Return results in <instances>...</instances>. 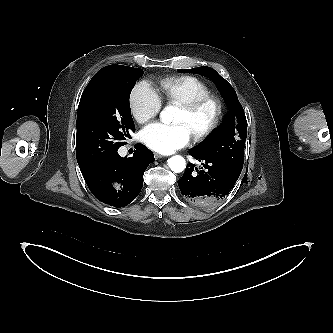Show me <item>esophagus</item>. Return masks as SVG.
<instances>
[{"instance_id":"1","label":"esophagus","mask_w":333,"mask_h":333,"mask_svg":"<svg viewBox=\"0 0 333 333\" xmlns=\"http://www.w3.org/2000/svg\"><path fill=\"white\" fill-rule=\"evenodd\" d=\"M154 157L155 159H160L162 157H164L163 155L159 154V153H154Z\"/></svg>"}]
</instances>
